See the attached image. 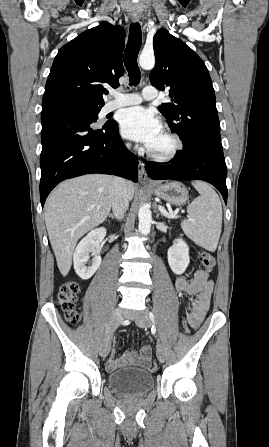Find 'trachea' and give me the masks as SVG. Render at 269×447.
Wrapping results in <instances>:
<instances>
[{"label": "trachea", "instance_id": "trachea-1", "mask_svg": "<svg viewBox=\"0 0 269 447\" xmlns=\"http://www.w3.org/2000/svg\"><path fill=\"white\" fill-rule=\"evenodd\" d=\"M142 36L139 23H132L128 44L124 52V64L128 71L130 85H138L141 79L140 70L137 64V56L141 47Z\"/></svg>", "mask_w": 269, "mask_h": 447}]
</instances>
